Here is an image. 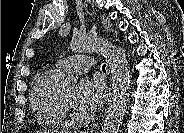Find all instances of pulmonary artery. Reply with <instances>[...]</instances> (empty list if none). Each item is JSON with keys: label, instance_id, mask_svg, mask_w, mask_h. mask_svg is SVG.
Instances as JSON below:
<instances>
[{"label": "pulmonary artery", "instance_id": "obj_1", "mask_svg": "<svg viewBox=\"0 0 184 133\" xmlns=\"http://www.w3.org/2000/svg\"><path fill=\"white\" fill-rule=\"evenodd\" d=\"M92 58L88 55L77 54L57 62V69L60 72L70 71L73 73H84L92 66Z\"/></svg>", "mask_w": 184, "mask_h": 133}]
</instances>
